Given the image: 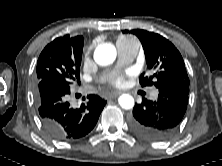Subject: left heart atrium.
Masks as SVG:
<instances>
[{
    "mask_svg": "<svg viewBox=\"0 0 222 166\" xmlns=\"http://www.w3.org/2000/svg\"><path fill=\"white\" fill-rule=\"evenodd\" d=\"M124 81L123 75H116L111 79V83L115 86H120Z\"/></svg>",
    "mask_w": 222,
    "mask_h": 166,
    "instance_id": "obj_1",
    "label": "left heart atrium"
}]
</instances>
